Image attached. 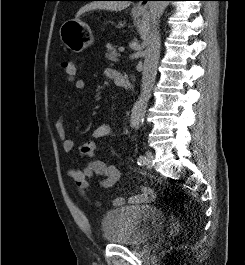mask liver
<instances>
[{
    "instance_id": "1",
    "label": "liver",
    "mask_w": 245,
    "mask_h": 265,
    "mask_svg": "<svg viewBox=\"0 0 245 265\" xmlns=\"http://www.w3.org/2000/svg\"><path fill=\"white\" fill-rule=\"evenodd\" d=\"M130 5L127 1H97L86 4L76 14V18L87 11L95 10V9H103L110 11H120L127 8Z\"/></svg>"
}]
</instances>
